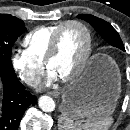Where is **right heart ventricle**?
<instances>
[{"label":"right heart ventricle","mask_w":130,"mask_h":130,"mask_svg":"<svg viewBox=\"0 0 130 130\" xmlns=\"http://www.w3.org/2000/svg\"><path fill=\"white\" fill-rule=\"evenodd\" d=\"M61 24L62 22L39 26L25 35L23 45L32 58L44 62L52 37Z\"/></svg>","instance_id":"obj_1"}]
</instances>
